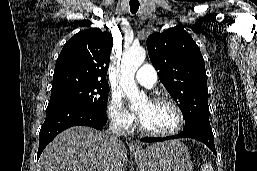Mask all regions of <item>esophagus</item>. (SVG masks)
I'll return each instance as SVG.
<instances>
[{
  "mask_svg": "<svg viewBox=\"0 0 257 171\" xmlns=\"http://www.w3.org/2000/svg\"><path fill=\"white\" fill-rule=\"evenodd\" d=\"M131 147L134 149V150H139L140 149V146L137 144V143H132Z\"/></svg>",
  "mask_w": 257,
  "mask_h": 171,
  "instance_id": "34e87169",
  "label": "esophagus"
}]
</instances>
